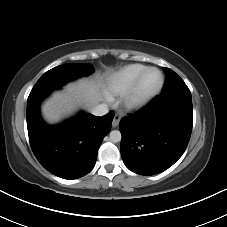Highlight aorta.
I'll list each match as a JSON object with an SVG mask.
<instances>
[{
  "label": "aorta",
  "instance_id": "1",
  "mask_svg": "<svg viewBox=\"0 0 227 227\" xmlns=\"http://www.w3.org/2000/svg\"><path fill=\"white\" fill-rule=\"evenodd\" d=\"M121 133L118 130H113L110 132V140L114 143L121 141Z\"/></svg>",
  "mask_w": 227,
  "mask_h": 227
}]
</instances>
